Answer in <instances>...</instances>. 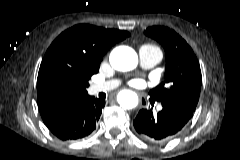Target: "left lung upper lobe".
Wrapping results in <instances>:
<instances>
[{
  "instance_id": "1",
  "label": "left lung upper lobe",
  "mask_w": 240,
  "mask_h": 160,
  "mask_svg": "<svg viewBox=\"0 0 240 160\" xmlns=\"http://www.w3.org/2000/svg\"><path fill=\"white\" fill-rule=\"evenodd\" d=\"M165 49V81L150 91L161 102L178 105L194 112L201 91L202 75L199 62L187 42L174 30L153 26L145 32Z\"/></svg>"
}]
</instances>
